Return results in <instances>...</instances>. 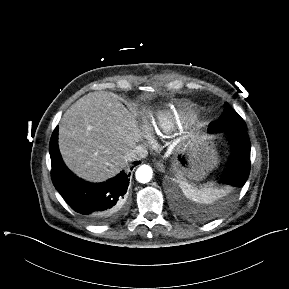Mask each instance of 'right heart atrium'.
Wrapping results in <instances>:
<instances>
[{"label":"right heart atrium","mask_w":289,"mask_h":289,"mask_svg":"<svg viewBox=\"0 0 289 289\" xmlns=\"http://www.w3.org/2000/svg\"><path fill=\"white\" fill-rule=\"evenodd\" d=\"M147 140H148V142H149L150 144L153 143V139H152V137H151L150 135H147Z\"/></svg>","instance_id":"obj_1"}]
</instances>
